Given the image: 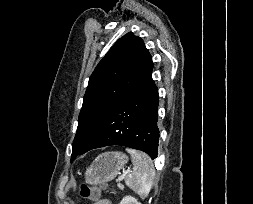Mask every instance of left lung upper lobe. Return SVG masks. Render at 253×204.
Instances as JSON below:
<instances>
[{
  "label": "left lung upper lobe",
  "mask_w": 253,
  "mask_h": 204,
  "mask_svg": "<svg viewBox=\"0 0 253 204\" xmlns=\"http://www.w3.org/2000/svg\"><path fill=\"white\" fill-rule=\"evenodd\" d=\"M152 65L143 40L133 33L125 34L111 47L89 78L71 161L89 143L96 125L133 92Z\"/></svg>",
  "instance_id": "5c2ea615"
}]
</instances>
